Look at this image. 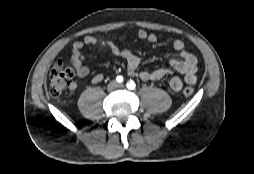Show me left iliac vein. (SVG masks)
<instances>
[{
    "label": "left iliac vein",
    "instance_id": "4c4485c4",
    "mask_svg": "<svg viewBox=\"0 0 254 174\" xmlns=\"http://www.w3.org/2000/svg\"><path fill=\"white\" fill-rule=\"evenodd\" d=\"M120 87H123V85H122V84H120Z\"/></svg>",
    "mask_w": 254,
    "mask_h": 174
}]
</instances>
